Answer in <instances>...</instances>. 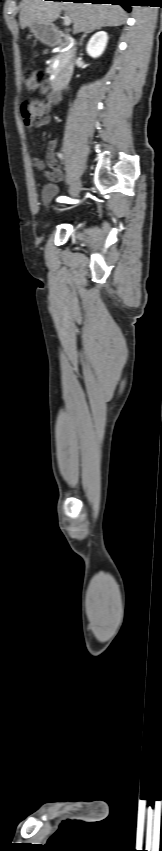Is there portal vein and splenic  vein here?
I'll return each mask as SVG.
<instances>
[{"label": "portal vein and splenic vein", "mask_w": 162, "mask_h": 851, "mask_svg": "<svg viewBox=\"0 0 162 851\" xmlns=\"http://www.w3.org/2000/svg\"><path fill=\"white\" fill-rule=\"evenodd\" d=\"M63 21H64V25H65V26H69V25L71 24V22H72L71 18H70V17H69V15H67V14H65V15H64V17H63Z\"/></svg>", "instance_id": "1"}]
</instances>
